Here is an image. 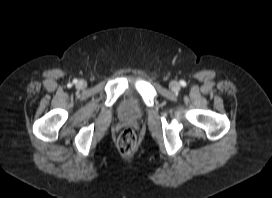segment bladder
Instances as JSON below:
<instances>
[{
	"instance_id": "bladder-1",
	"label": "bladder",
	"mask_w": 272,
	"mask_h": 198,
	"mask_svg": "<svg viewBox=\"0 0 272 198\" xmlns=\"http://www.w3.org/2000/svg\"><path fill=\"white\" fill-rule=\"evenodd\" d=\"M145 108L134 92H128L122 98L119 115L123 119L139 120L144 116Z\"/></svg>"
}]
</instances>
